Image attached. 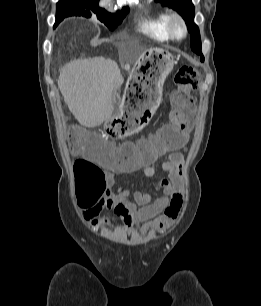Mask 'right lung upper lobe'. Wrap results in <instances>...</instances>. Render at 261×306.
Instances as JSON below:
<instances>
[{
    "label": "right lung upper lobe",
    "instance_id": "right-lung-upper-lobe-1",
    "mask_svg": "<svg viewBox=\"0 0 261 306\" xmlns=\"http://www.w3.org/2000/svg\"><path fill=\"white\" fill-rule=\"evenodd\" d=\"M70 1H74V0H59L58 3L70 2ZM58 3H57V4H58Z\"/></svg>",
    "mask_w": 261,
    "mask_h": 306
}]
</instances>
